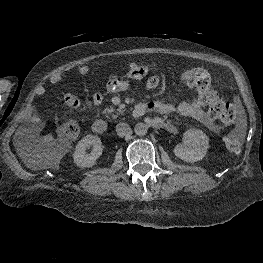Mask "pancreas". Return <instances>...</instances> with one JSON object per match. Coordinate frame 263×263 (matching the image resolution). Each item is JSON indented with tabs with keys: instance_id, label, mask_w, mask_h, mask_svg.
<instances>
[{
	"instance_id": "1",
	"label": "pancreas",
	"mask_w": 263,
	"mask_h": 263,
	"mask_svg": "<svg viewBox=\"0 0 263 263\" xmlns=\"http://www.w3.org/2000/svg\"><path fill=\"white\" fill-rule=\"evenodd\" d=\"M115 111V109H114V107H109V108H106L104 111H103V113L105 114V113H112V112H114ZM120 113H121V110L119 109V110H117V113L116 114H113L112 115V117L113 118H117L118 117V115H120Z\"/></svg>"
}]
</instances>
